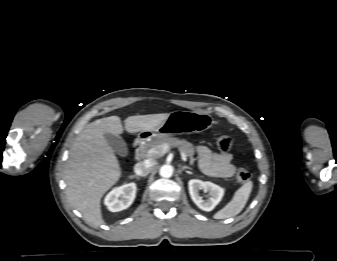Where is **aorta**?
<instances>
[{
    "mask_svg": "<svg viewBox=\"0 0 337 261\" xmlns=\"http://www.w3.org/2000/svg\"><path fill=\"white\" fill-rule=\"evenodd\" d=\"M160 176L164 178H169L173 174V168L170 165H163L159 171Z\"/></svg>",
    "mask_w": 337,
    "mask_h": 261,
    "instance_id": "1",
    "label": "aorta"
}]
</instances>
